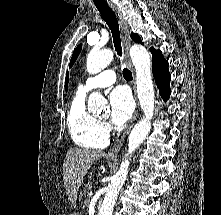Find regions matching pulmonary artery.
I'll list each match as a JSON object with an SVG mask.
<instances>
[{
    "instance_id": "pulmonary-artery-1",
    "label": "pulmonary artery",
    "mask_w": 221,
    "mask_h": 215,
    "mask_svg": "<svg viewBox=\"0 0 221 215\" xmlns=\"http://www.w3.org/2000/svg\"><path fill=\"white\" fill-rule=\"evenodd\" d=\"M116 81V71L114 69H108L102 71L100 74L86 79V81L80 85L79 90L87 93L91 90L106 87L112 85Z\"/></svg>"
}]
</instances>
